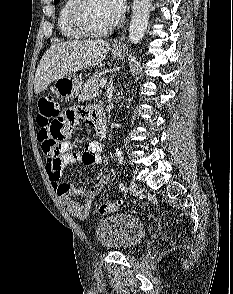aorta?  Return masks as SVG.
Instances as JSON below:
<instances>
[{
    "instance_id": "762f6f07",
    "label": "aorta",
    "mask_w": 233,
    "mask_h": 294,
    "mask_svg": "<svg viewBox=\"0 0 233 294\" xmlns=\"http://www.w3.org/2000/svg\"><path fill=\"white\" fill-rule=\"evenodd\" d=\"M152 0H133L132 17L129 26V42L131 45L138 44L144 37L151 9ZM116 157L119 164L123 157L120 150H116Z\"/></svg>"
}]
</instances>
